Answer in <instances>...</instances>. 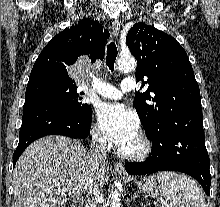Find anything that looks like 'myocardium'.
<instances>
[{
    "instance_id": "f54148a6",
    "label": "myocardium",
    "mask_w": 220,
    "mask_h": 207,
    "mask_svg": "<svg viewBox=\"0 0 220 207\" xmlns=\"http://www.w3.org/2000/svg\"><path fill=\"white\" fill-rule=\"evenodd\" d=\"M138 138L141 143V147L138 151L128 153L122 151L120 148L117 150L118 155L125 159V160H130V161H141L147 158L151 151H152V142L150 138L143 132H140L138 134Z\"/></svg>"
}]
</instances>
